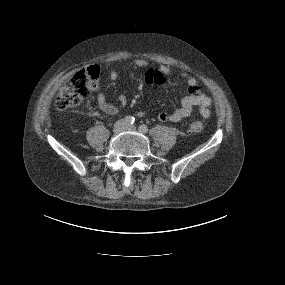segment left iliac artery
Instances as JSON below:
<instances>
[{
  "instance_id": "44dca946",
  "label": "left iliac artery",
  "mask_w": 285,
  "mask_h": 285,
  "mask_svg": "<svg viewBox=\"0 0 285 285\" xmlns=\"http://www.w3.org/2000/svg\"><path fill=\"white\" fill-rule=\"evenodd\" d=\"M139 131L142 133H146L148 131V128L146 125L142 124L139 126Z\"/></svg>"
}]
</instances>
